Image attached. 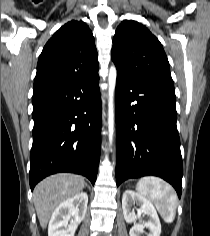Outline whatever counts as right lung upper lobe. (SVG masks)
<instances>
[{"label":"right lung upper lobe","instance_id":"obj_1","mask_svg":"<svg viewBox=\"0 0 210 236\" xmlns=\"http://www.w3.org/2000/svg\"><path fill=\"white\" fill-rule=\"evenodd\" d=\"M99 69L91 30L83 21H70L46 43L40 54L34 91H53Z\"/></svg>","mask_w":210,"mask_h":236}]
</instances>
